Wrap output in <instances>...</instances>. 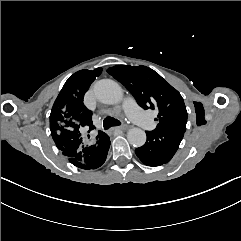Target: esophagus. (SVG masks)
Listing matches in <instances>:
<instances>
[{
  "instance_id": "esophagus-1",
  "label": "esophagus",
  "mask_w": 241,
  "mask_h": 241,
  "mask_svg": "<svg viewBox=\"0 0 241 241\" xmlns=\"http://www.w3.org/2000/svg\"><path fill=\"white\" fill-rule=\"evenodd\" d=\"M115 129L125 130V129H127V127H126V126H119V127H117V128H114L112 131H114Z\"/></svg>"
}]
</instances>
